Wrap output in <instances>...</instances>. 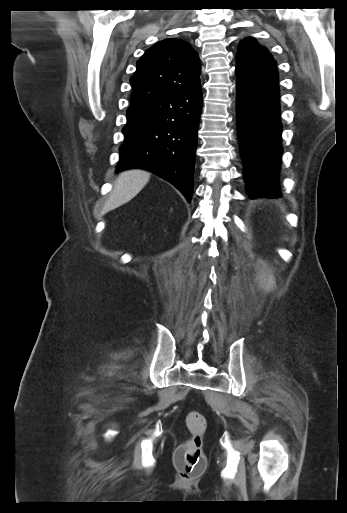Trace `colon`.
I'll use <instances>...</instances> for the list:
<instances>
[{
    "mask_svg": "<svg viewBox=\"0 0 347 513\" xmlns=\"http://www.w3.org/2000/svg\"><path fill=\"white\" fill-rule=\"evenodd\" d=\"M185 422L191 436L181 445L176 455L175 464L182 477L192 479L198 477L205 469L203 436L207 422L205 417L197 411L188 412Z\"/></svg>",
    "mask_w": 347,
    "mask_h": 513,
    "instance_id": "5ec220e1",
    "label": "colon"
}]
</instances>
